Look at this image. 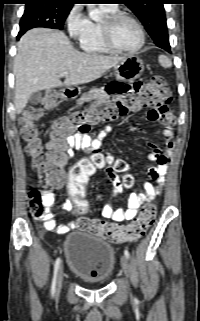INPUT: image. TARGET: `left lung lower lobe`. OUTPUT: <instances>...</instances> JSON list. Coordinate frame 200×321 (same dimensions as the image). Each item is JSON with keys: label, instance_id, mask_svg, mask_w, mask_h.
Masks as SVG:
<instances>
[{"label": "left lung lower lobe", "instance_id": "0a47b994", "mask_svg": "<svg viewBox=\"0 0 200 321\" xmlns=\"http://www.w3.org/2000/svg\"><path fill=\"white\" fill-rule=\"evenodd\" d=\"M164 50H165V49H164ZM166 51L170 52V47H167V48H166Z\"/></svg>", "mask_w": 200, "mask_h": 321}]
</instances>
